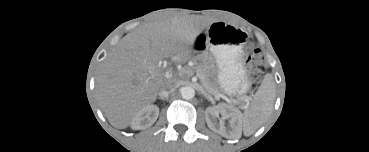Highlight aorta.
Segmentation results:
<instances>
[{"instance_id": "762f6f07", "label": "aorta", "mask_w": 369, "mask_h": 152, "mask_svg": "<svg viewBox=\"0 0 369 152\" xmlns=\"http://www.w3.org/2000/svg\"><path fill=\"white\" fill-rule=\"evenodd\" d=\"M181 96L185 100H190V99L194 98L195 90L190 86L183 87L181 89Z\"/></svg>"}]
</instances>
